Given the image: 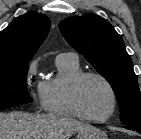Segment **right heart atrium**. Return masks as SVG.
<instances>
[{
    "mask_svg": "<svg viewBox=\"0 0 141 139\" xmlns=\"http://www.w3.org/2000/svg\"><path fill=\"white\" fill-rule=\"evenodd\" d=\"M37 72V63L36 61H31L26 69V73H25V78H26V82L28 84V86H31V83L36 75ZM32 96L35 99V101L37 102V104L40 107H43V100H42V94H41V83L37 84V90L36 92H32Z\"/></svg>",
    "mask_w": 141,
    "mask_h": 139,
    "instance_id": "1",
    "label": "right heart atrium"
}]
</instances>
